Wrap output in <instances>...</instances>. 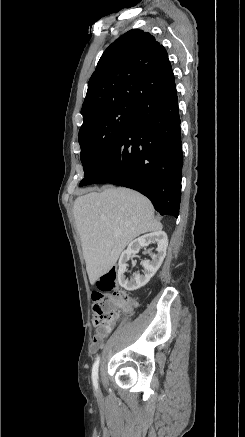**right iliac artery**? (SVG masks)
<instances>
[{
  "mask_svg": "<svg viewBox=\"0 0 245 437\" xmlns=\"http://www.w3.org/2000/svg\"><path fill=\"white\" fill-rule=\"evenodd\" d=\"M99 361L100 358L98 357L92 367V380H93V386L95 390L98 389V367H99Z\"/></svg>",
  "mask_w": 245,
  "mask_h": 437,
  "instance_id": "1",
  "label": "right iliac artery"
}]
</instances>
